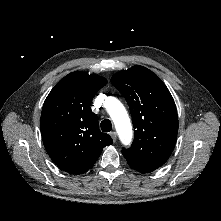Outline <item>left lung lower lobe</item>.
Instances as JSON below:
<instances>
[{
    "label": "left lung lower lobe",
    "instance_id": "0a47b994",
    "mask_svg": "<svg viewBox=\"0 0 221 221\" xmlns=\"http://www.w3.org/2000/svg\"><path fill=\"white\" fill-rule=\"evenodd\" d=\"M130 167L133 168V169H135V170H137L138 172L146 173V172H143V171H141V170H139V169H136V168H134V167H132V166H130Z\"/></svg>",
    "mask_w": 221,
    "mask_h": 221
}]
</instances>
